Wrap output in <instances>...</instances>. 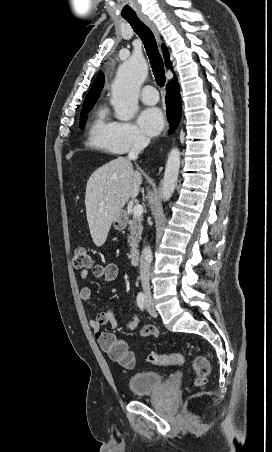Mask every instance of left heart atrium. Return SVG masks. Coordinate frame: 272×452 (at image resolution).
<instances>
[{"label": "left heart atrium", "instance_id": "left-heart-atrium-1", "mask_svg": "<svg viewBox=\"0 0 272 452\" xmlns=\"http://www.w3.org/2000/svg\"><path fill=\"white\" fill-rule=\"evenodd\" d=\"M141 129L149 136L157 135L164 126V117L157 107L146 108L139 117Z\"/></svg>", "mask_w": 272, "mask_h": 452}]
</instances>
